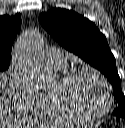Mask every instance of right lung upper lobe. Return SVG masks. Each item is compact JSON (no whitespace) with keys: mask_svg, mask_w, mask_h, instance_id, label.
<instances>
[{"mask_svg":"<svg viewBox=\"0 0 125 128\" xmlns=\"http://www.w3.org/2000/svg\"><path fill=\"white\" fill-rule=\"evenodd\" d=\"M21 28V16H0V62H10L12 44Z\"/></svg>","mask_w":125,"mask_h":128,"instance_id":"obj_1","label":"right lung upper lobe"}]
</instances>
